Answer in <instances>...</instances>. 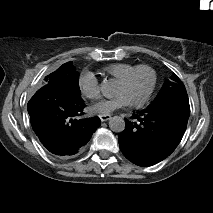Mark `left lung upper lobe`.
I'll return each instance as SVG.
<instances>
[{"label":"left lung upper lobe","instance_id":"1","mask_svg":"<svg viewBox=\"0 0 213 213\" xmlns=\"http://www.w3.org/2000/svg\"><path fill=\"white\" fill-rule=\"evenodd\" d=\"M164 105H172L187 114L190 113L186 89L176 74L165 81L159 94L148 107L158 108Z\"/></svg>","mask_w":213,"mask_h":213}]
</instances>
